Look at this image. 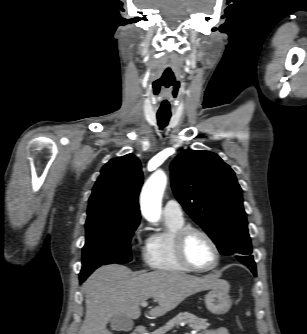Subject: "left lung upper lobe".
Listing matches in <instances>:
<instances>
[{
  "mask_svg": "<svg viewBox=\"0 0 307 334\" xmlns=\"http://www.w3.org/2000/svg\"><path fill=\"white\" fill-rule=\"evenodd\" d=\"M170 169L175 197L220 253L241 254L236 258L254 268L242 189L230 166L213 152L186 150Z\"/></svg>",
  "mask_w": 307,
  "mask_h": 334,
  "instance_id": "1",
  "label": "left lung upper lobe"
}]
</instances>
